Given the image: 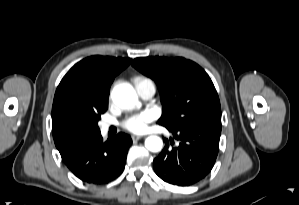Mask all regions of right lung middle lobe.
Returning <instances> with one entry per match:
<instances>
[{
  "mask_svg": "<svg viewBox=\"0 0 299 205\" xmlns=\"http://www.w3.org/2000/svg\"><path fill=\"white\" fill-rule=\"evenodd\" d=\"M107 108L68 112L58 125L60 140L70 147L86 137L100 133L97 125Z\"/></svg>",
  "mask_w": 299,
  "mask_h": 205,
  "instance_id": "obj_1",
  "label": "right lung middle lobe"
}]
</instances>
